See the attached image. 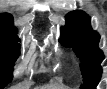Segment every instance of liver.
Segmentation results:
<instances>
[{"label":"liver","instance_id":"liver-1","mask_svg":"<svg viewBox=\"0 0 107 89\" xmlns=\"http://www.w3.org/2000/svg\"><path fill=\"white\" fill-rule=\"evenodd\" d=\"M43 87H44L43 89H63L62 87L49 88V87H52V86H49V85H46V86H43Z\"/></svg>","mask_w":107,"mask_h":89}]
</instances>
